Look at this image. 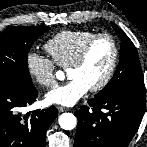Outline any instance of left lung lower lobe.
Returning a JSON list of instances; mask_svg holds the SVG:
<instances>
[{
  "label": "left lung lower lobe",
  "instance_id": "obj_1",
  "mask_svg": "<svg viewBox=\"0 0 147 147\" xmlns=\"http://www.w3.org/2000/svg\"><path fill=\"white\" fill-rule=\"evenodd\" d=\"M76 111L74 147H127L137 132L146 106L145 96L131 93L94 97Z\"/></svg>",
  "mask_w": 147,
  "mask_h": 147
}]
</instances>
